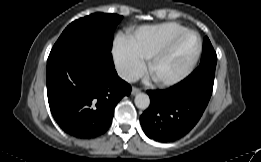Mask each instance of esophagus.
Masks as SVG:
<instances>
[{
	"mask_svg": "<svg viewBox=\"0 0 261 162\" xmlns=\"http://www.w3.org/2000/svg\"><path fill=\"white\" fill-rule=\"evenodd\" d=\"M139 92H140V89H139V88L133 87V88H132V91H131V94H132V95H136V94H138Z\"/></svg>",
	"mask_w": 261,
	"mask_h": 162,
	"instance_id": "1",
	"label": "esophagus"
}]
</instances>
